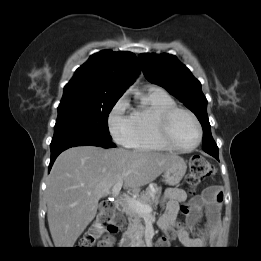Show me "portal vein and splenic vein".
Returning a JSON list of instances; mask_svg holds the SVG:
<instances>
[{
    "label": "portal vein and splenic vein",
    "mask_w": 261,
    "mask_h": 261,
    "mask_svg": "<svg viewBox=\"0 0 261 261\" xmlns=\"http://www.w3.org/2000/svg\"><path fill=\"white\" fill-rule=\"evenodd\" d=\"M123 185V179H120L112 188V194L114 196L118 195ZM125 202L129 204L130 207H132L136 212L140 214H147L152 211L151 206L147 204L140 203L136 201L133 198H130L129 196H125L124 198Z\"/></svg>",
    "instance_id": "1"
}]
</instances>
